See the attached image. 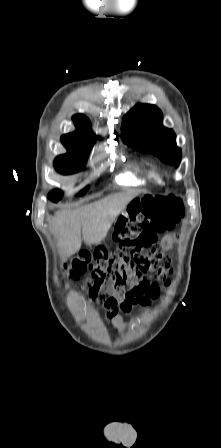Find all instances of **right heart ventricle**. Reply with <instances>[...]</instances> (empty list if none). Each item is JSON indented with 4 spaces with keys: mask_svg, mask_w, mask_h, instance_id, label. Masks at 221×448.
I'll list each match as a JSON object with an SVG mask.
<instances>
[{
    "mask_svg": "<svg viewBox=\"0 0 221 448\" xmlns=\"http://www.w3.org/2000/svg\"><path fill=\"white\" fill-rule=\"evenodd\" d=\"M149 177L154 178L156 181H160L159 176L155 173H150ZM117 182L123 185H138L144 183L143 180L139 179L135 174L130 171H127L121 174L117 178Z\"/></svg>",
    "mask_w": 221,
    "mask_h": 448,
    "instance_id": "e07e8e85",
    "label": "right heart ventricle"
}]
</instances>
